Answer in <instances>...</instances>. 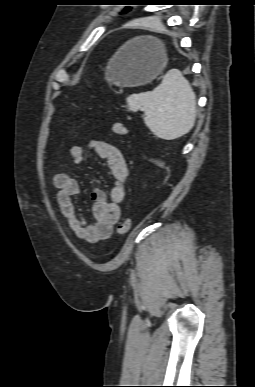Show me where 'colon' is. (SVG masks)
I'll return each mask as SVG.
<instances>
[{
	"mask_svg": "<svg viewBox=\"0 0 255 387\" xmlns=\"http://www.w3.org/2000/svg\"><path fill=\"white\" fill-rule=\"evenodd\" d=\"M111 129L112 132L117 136H125L128 133L127 127L119 121L113 122ZM131 227L132 220L127 217L123 219L122 222L118 225L117 231L119 234H126L131 229Z\"/></svg>",
	"mask_w": 255,
	"mask_h": 387,
	"instance_id": "obj_1",
	"label": "colon"
}]
</instances>
